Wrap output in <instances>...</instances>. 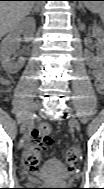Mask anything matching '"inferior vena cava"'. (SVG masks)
Returning a JSON list of instances; mask_svg holds the SVG:
<instances>
[{
    "label": "inferior vena cava",
    "mask_w": 104,
    "mask_h": 189,
    "mask_svg": "<svg viewBox=\"0 0 104 189\" xmlns=\"http://www.w3.org/2000/svg\"><path fill=\"white\" fill-rule=\"evenodd\" d=\"M39 5V2L36 3L35 7L38 8L37 6Z\"/></svg>",
    "instance_id": "602c4592"
}]
</instances>
